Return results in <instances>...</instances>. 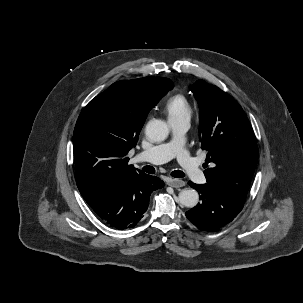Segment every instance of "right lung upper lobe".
<instances>
[{
  "instance_id": "right-lung-upper-lobe-1",
  "label": "right lung upper lobe",
  "mask_w": 303,
  "mask_h": 303,
  "mask_svg": "<svg viewBox=\"0 0 303 303\" xmlns=\"http://www.w3.org/2000/svg\"><path fill=\"white\" fill-rule=\"evenodd\" d=\"M168 78L121 80L92 99L73 134L78 189L90 205L111 185L136 173L127 154L150 109L172 88ZM140 172V170H138Z\"/></svg>"
}]
</instances>
